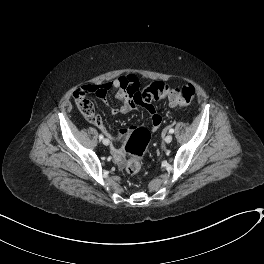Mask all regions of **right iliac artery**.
<instances>
[{
  "mask_svg": "<svg viewBox=\"0 0 264 264\" xmlns=\"http://www.w3.org/2000/svg\"><path fill=\"white\" fill-rule=\"evenodd\" d=\"M104 136L102 134L99 135V139L102 140Z\"/></svg>",
  "mask_w": 264,
  "mask_h": 264,
  "instance_id": "1",
  "label": "right iliac artery"
}]
</instances>
